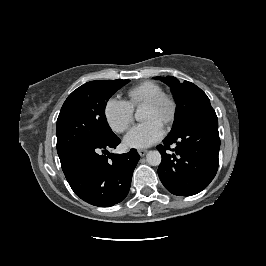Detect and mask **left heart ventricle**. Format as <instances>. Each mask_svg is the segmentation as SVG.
I'll return each mask as SVG.
<instances>
[{
    "instance_id": "1",
    "label": "left heart ventricle",
    "mask_w": 266,
    "mask_h": 266,
    "mask_svg": "<svg viewBox=\"0 0 266 266\" xmlns=\"http://www.w3.org/2000/svg\"><path fill=\"white\" fill-rule=\"evenodd\" d=\"M167 114V108L165 106L161 107H152V106H145L143 112V119H157L160 122H163L164 117Z\"/></svg>"
}]
</instances>
